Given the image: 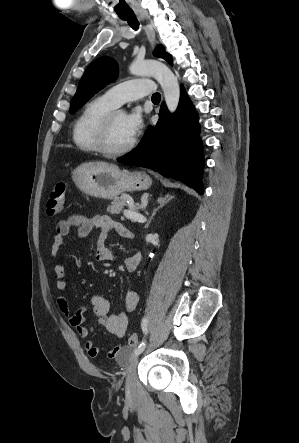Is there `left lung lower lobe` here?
<instances>
[{"instance_id":"1","label":"left lung lower lobe","mask_w":299,"mask_h":443,"mask_svg":"<svg viewBox=\"0 0 299 443\" xmlns=\"http://www.w3.org/2000/svg\"><path fill=\"white\" fill-rule=\"evenodd\" d=\"M199 131L198 114L182 88L176 112L170 114L162 103L156 126L149 127L138 146L117 161L152 169L202 195L204 159Z\"/></svg>"}]
</instances>
